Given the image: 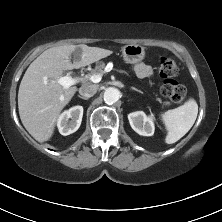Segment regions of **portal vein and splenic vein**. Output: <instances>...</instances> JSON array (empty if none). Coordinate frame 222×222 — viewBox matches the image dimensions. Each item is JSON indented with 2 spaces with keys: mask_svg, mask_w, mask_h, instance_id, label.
<instances>
[{
  "mask_svg": "<svg viewBox=\"0 0 222 222\" xmlns=\"http://www.w3.org/2000/svg\"><path fill=\"white\" fill-rule=\"evenodd\" d=\"M102 79V75L100 74H93V75H85L84 77H76L72 78L70 75H66L63 77H60L58 79V83L63 86V88L67 89L71 87L72 85H75L82 81H91L93 83H99Z\"/></svg>",
  "mask_w": 222,
  "mask_h": 222,
  "instance_id": "obj_1",
  "label": "portal vein and splenic vein"
}]
</instances>
